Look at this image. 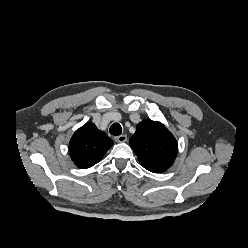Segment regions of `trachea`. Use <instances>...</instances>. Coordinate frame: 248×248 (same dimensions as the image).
I'll return each mask as SVG.
<instances>
[{
	"label": "trachea",
	"instance_id": "1",
	"mask_svg": "<svg viewBox=\"0 0 248 248\" xmlns=\"http://www.w3.org/2000/svg\"><path fill=\"white\" fill-rule=\"evenodd\" d=\"M109 131L111 135L118 136L122 133V127L119 123H114L111 125Z\"/></svg>",
	"mask_w": 248,
	"mask_h": 248
}]
</instances>
